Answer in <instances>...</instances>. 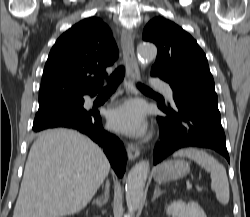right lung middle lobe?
Returning a JSON list of instances; mask_svg holds the SVG:
<instances>
[{
	"mask_svg": "<svg viewBox=\"0 0 250 217\" xmlns=\"http://www.w3.org/2000/svg\"><path fill=\"white\" fill-rule=\"evenodd\" d=\"M86 111L80 99L58 101L46 106H40L35 116L33 129L56 119L73 117L77 118Z\"/></svg>",
	"mask_w": 250,
	"mask_h": 217,
	"instance_id": "dd1d6c3e",
	"label": "right lung middle lobe"
}]
</instances>
